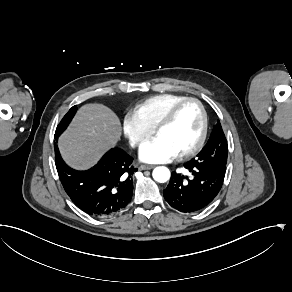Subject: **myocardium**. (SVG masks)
<instances>
[{"label": "myocardium", "mask_w": 292, "mask_h": 292, "mask_svg": "<svg viewBox=\"0 0 292 292\" xmlns=\"http://www.w3.org/2000/svg\"><path fill=\"white\" fill-rule=\"evenodd\" d=\"M189 102L195 103L199 108L200 116H201L200 132H199L198 138L195 141V143L192 146H190V147H188L185 150L180 152L181 156H188V155H191V154L197 152L202 147V145L205 141V137H206V133H207V115H206L205 108H204L203 104L201 103V101L196 99V98H193V97H186V98H183V99L176 101L171 106H169L167 108V110L161 115V117L159 118V120L157 121V123L154 127L155 133H158L159 129H161L162 127H164L165 125H167L168 123H170L174 119L178 109L182 105L189 103Z\"/></svg>", "instance_id": "f54148a6"}]
</instances>
